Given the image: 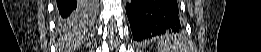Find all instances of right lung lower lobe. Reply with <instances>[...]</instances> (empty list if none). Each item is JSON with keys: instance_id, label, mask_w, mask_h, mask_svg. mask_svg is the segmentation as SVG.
Returning <instances> with one entry per match:
<instances>
[{"instance_id": "right-lung-lower-lobe-1", "label": "right lung lower lobe", "mask_w": 261, "mask_h": 52, "mask_svg": "<svg viewBox=\"0 0 261 52\" xmlns=\"http://www.w3.org/2000/svg\"><path fill=\"white\" fill-rule=\"evenodd\" d=\"M57 7L59 10V15L62 19H72L84 8L80 2L69 0H57Z\"/></svg>"}]
</instances>
